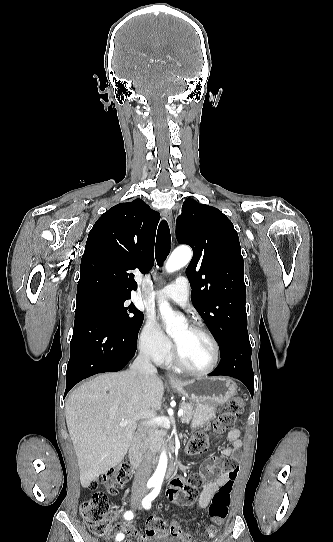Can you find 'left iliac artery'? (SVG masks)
<instances>
[{
  "label": "left iliac artery",
  "instance_id": "1",
  "mask_svg": "<svg viewBox=\"0 0 333 542\" xmlns=\"http://www.w3.org/2000/svg\"><path fill=\"white\" fill-rule=\"evenodd\" d=\"M161 484V482L156 483L154 485L153 491L148 495V497L143 500L142 505L145 509H149L151 507V502L157 497L160 492Z\"/></svg>",
  "mask_w": 333,
  "mask_h": 542
}]
</instances>
